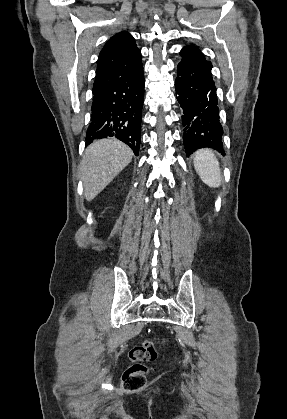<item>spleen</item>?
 Returning <instances> with one entry per match:
<instances>
[{
    "label": "spleen",
    "instance_id": "1",
    "mask_svg": "<svg viewBox=\"0 0 287 419\" xmlns=\"http://www.w3.org/2000/svg\"><path fill=\"white\" fill-rule=\"evenodd\" d=\"M194 168L207 186L217 188L221 185L219 162L212 150H198L194 155Z\"/></svg>",
    "mask_w": 287,
    "mask_h": 419
}]
</instances>
